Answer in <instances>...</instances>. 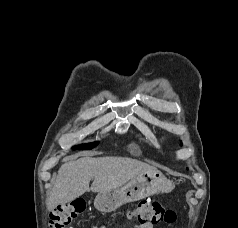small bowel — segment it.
<instances>
[{"label": "small bowel", "mask_w": 238, "mask_h": 228, "mask_svg": "<svg viewBox=\"0 0 238 228\" xmlns=\"http://www.w3.org/2000/svg\"><path fill=\"white\" fill-rule=\"evenodd\" d=\"M134 228H154L151 224H136Z\"/></svg>", "instance_id": "1"}]
</instances>
